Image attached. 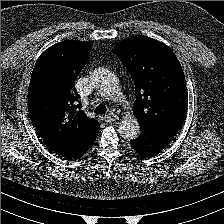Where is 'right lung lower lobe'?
Wrapping results in <instances>:
<instances>
[{
  "mask_svg": "<svg viewBox=\"0 0 224 224\" xmlns=\"http://www.w3.org/2000/svg\"><path fill=\"white\" fill-rule=\"evenodd\" d=\"M95 140H93L91 143L88 144V146H86L84 149L79 150L75 156H73L74 159H78L79 157H81L89 148L92 147L93 143Z\"/></svg>",
  "mask_w": 224,
  "mask_h": 224,
  "instance_id": "1",
  "label": "right lung lower lobe"
}]
</instances>
